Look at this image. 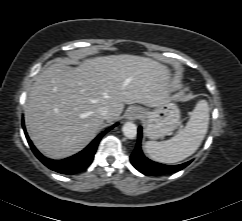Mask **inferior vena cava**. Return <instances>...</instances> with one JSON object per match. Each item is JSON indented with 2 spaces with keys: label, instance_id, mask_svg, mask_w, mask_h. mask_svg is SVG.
Listing matches in <instances>:
<instances>
[{
  "label": "inferior vena cava",
  "instance_id": "obj_1",
  "mask_svg": "<svg viewBox=\"0 0 242 221\" xmlns=\"http://www.w3.org/2000/svg\"><path fill=\"white\" fill-rule=\"evenodd\" d=\"M99 113L103 117V119H105V120H107L110 116V111L107 107L100 108Z\"/></svg>",
  "mask_w": 242,
  "mask_h": 221
}]
</instances>
